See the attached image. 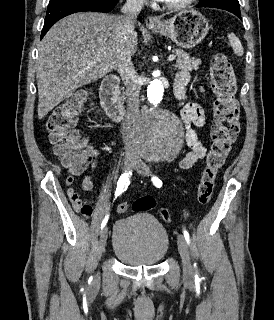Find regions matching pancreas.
Masks as SVG:
<instances>
[{"label": "pancreas", "instance_id": "pancreas-1", "mask_svg": "<svg viewBox=\"0 0 274 320\" xmlns=\"http://www.w3.org/2000/svg\"><path fill=\"white\" fill-rule=\"evenodd\" d=\"M177 60L174 68L176 70H182V72H190V70H195L199 66V60L195 58H190V54H185L183 50H174Z\"/></svg>", "mask_w": 274, "mask_h": 320}]
</instances>
